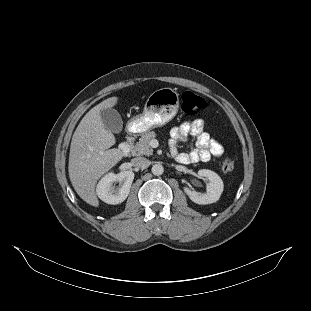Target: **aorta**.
<instances>
[{"instance_id":"obj_1","label":"aorta","mask_w":311,"mask_h":311,"mask_svg":"<svg viewBox=\"0 0 311 311\" xmlns=\"http://www.w3.org/2000/svg\"><path fill=\"white\" fill-rule=\"evenodd\" d=\"M154 175H161L164 172V167L161 164H154L151 168Z\"/></svg>"}]
</instances>
